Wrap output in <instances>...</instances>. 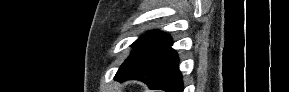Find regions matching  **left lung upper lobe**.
<instances>
[{
	"mask_svg": "<svg viewBox=\"0 0 289 92\" xmlns=\"http://www.w3.org/2000/svg\"><path fill=\"white\" fill-rule=\"evenodd\" d=\"M163 33L159 31H150L145 35L139 37L131 46L133 47V52L131 55L125 60L120 68L125 67L138 56H140L158 37H160ZM119 68V69H120Z\"/></svg>",
	"mask_w": 289,
	"mask_h": 92,
	"instance_id": "1",
	"label": "left lung upper lobe"
}]
</instances>
